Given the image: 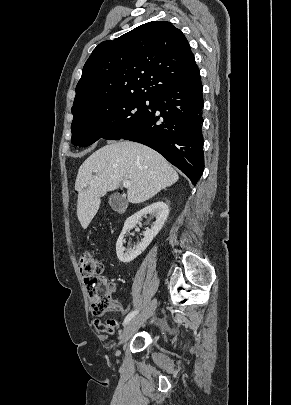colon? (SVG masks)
Here are the masks:
<instances>
[{"instance_id": "1", "label": "colon", "mask_w": 291, "mask_h": 405, "mask_svg": "<svg viewBox=\"0 0 291 405\" xmlns=\"http://www.w3.org/2000/svg\"><path fill=\"white\" fill-rule=\"evenodd\" d=\"M79 267L90 298L91 311L94 315H103L112 304L111 286L102 274L103 262L91 252L85 251L79 256Z\"/></svg>"}]
</instances>
